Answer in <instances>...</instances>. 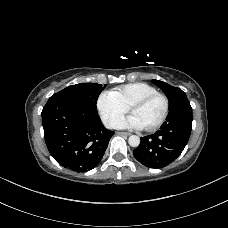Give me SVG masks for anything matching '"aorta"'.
Listing matches in <instances>:
<instances>
[{
  "instance_id": "obj_1",
  "label": "aorta",
  "mask_w": 228,
  "mask_h": 228,
  "mask_svg": "<svg viewBox=\"0 0 228 228\" xmlns=\"http://www.w3.org/2000/svg\"><path fill=\"white\" fill-rule=\"evenodd\" d=\"M128 143L131 147H138L140 144V138L136 135H131L128 139Z\"/></svg>"
}]
</instances>
